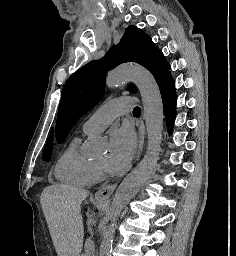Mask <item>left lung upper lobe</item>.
I'll list each match as a JSON object with an SVG mask.
<instances>
[{
	"mask_svg": "<svg viewBox=\"0 0 236 256\" xmlns=\"http://www.w3.org/2000/svg\"><path fill=\"white\" fill-rule=\"evenodd\" d=\"M125 62H136L144 66L153 74L156 82L170 68L163 53L148 35L134 26L126 28L120 43L111 48L104 58L89 62L67 81L56 122L58 143H63L77 120L102 98L107 71ZM128 90L136 92L133 85Z\"/></svg>",
	"mask_w": 236,
	"mask_h": 256,
	"instance_id": "left-lung-upper-lobe-1",
	"label": "left lung upper lobe"
}]
</instances>
